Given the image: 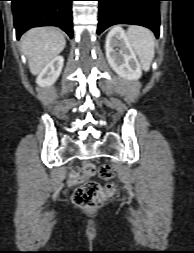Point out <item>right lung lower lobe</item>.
I'll use <instances>...</instances> for the list:
<instances>
[{"instance_id":"98d812e1","label":"right lung lower lobe","mask_w":194,"mask_h":253,"mask_svg":"<svg viewBox=\"0 0 194 253\" xmlns=\"http://www.w3.org/2000/svg\"><path fill=\"white\" fill-rule=\"evenodd\" d=\"M17 38L32 27L57 26L72 38V0H11Z\"/></svg>"}]
</instances>
